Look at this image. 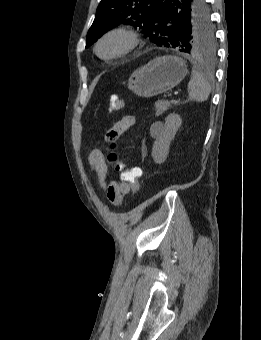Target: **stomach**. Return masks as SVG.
I'll list each match as a JSON object with an SVG mask.
<instances>
[{"instance_id":"stomach-1","label":"stomach","mask_w":261,"mask_h":340,"mask_svg":"<svg viewBox=\"0 0 261 340\" xmlns=\"http://www.w3.org/2000/svg\"><path fill=\"white\" fill-rule=\"evenodd\" d=\"M187 66L179 57H158L135 70L128 80V89L149 98L177 86L187 75Z\"/></svg>"}]
</instances>
